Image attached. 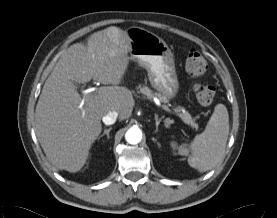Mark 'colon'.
<instances>
[{"label":"colon","mask_w":277,"mask_h":218,"mask_svg":"<svg viewBox=\"0 0 277 218\" xmlns=\"http://www.w3.org/2000/svg\"><path fill=\"white\" fill-rule=\"evenodd\" d=\"M207 61L197 50H191L185 60V69L194 79L203 77L207 72ZM194 94L202 106H209L215 98V87L206 82H197L194 85Z\"/></svg>","instance_id":"1"}]
</instances>
